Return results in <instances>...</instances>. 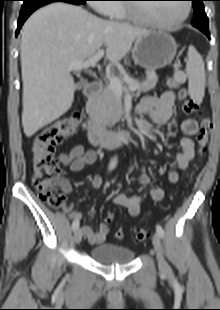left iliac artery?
Returning <instances> with one entry per match:
<instances>
[{
  "label": "left iliac artery",
  "mask_w": 220,
  "mask_h": 310,
  "mask_svg": "<svg viewBox=\"0 0 220 310\" xmlns=\"http://www.w3.org/2000/svg\"><path fill=\"white\" fill-rule=\"evenodd\" d=\"M156 231L160 237L164 236V230H163L162 226H160L159 224L156 225Z\"/></svg>",
  "instance_id": "1"
}]
</instances>
